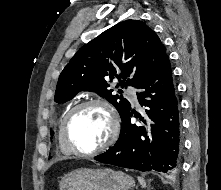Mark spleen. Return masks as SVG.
I'll return each instance as SVG.
<instances>
[{"instance_id": "spleen-1", "label": "spleen", "mask_w": 221, "mask_h": 190, "mask_svg": "<svg viewBox=\"0 0 221 190\" xmlns=\"http://www.w3.org/2000/svg\"><path fill=\"white\" fill-rule=\"evenodd\" d=\"M138 181H139V183L141 184L142 187L146 186V182L142 177H138Z\"/></svg>"}]
</instances>
